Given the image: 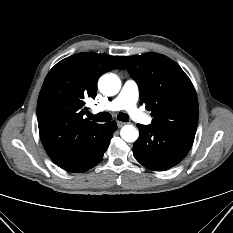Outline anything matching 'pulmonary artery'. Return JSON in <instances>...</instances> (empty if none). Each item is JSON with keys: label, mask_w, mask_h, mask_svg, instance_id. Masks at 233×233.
Returning a JSON list of instances; mask_svg holds the SVG:
<instances>
[{"label": "pulmonary artery", "mask_w": 233, "mask_h": 233, "mask_svg": "<svg viewBox=\"0 0 233 233\" xmlns=\"http://www.w3.org/2000/svg\"><path fill=\"white\" fill-rule=\"evenodd\" d=\"M139 90L138 84L132 79H128L122 86L118 96L103 106L95 108V112L126 110L130 118L142 124H151L152 118L139 110L136 106Z\"/></svg>", "instance_id": "1"}]
</instances>
